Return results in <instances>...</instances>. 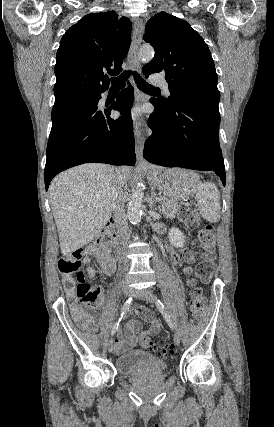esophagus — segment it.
<instances>
[{
    "mask_svg": "<svg viewBox=\"0 0 274 427\" xmlns=\"http://www.w3.org/2000/svg\"><path fill=\"white\" fill-rule=\"evenodd\" d=\"M144 34V24L143 21L140 18H137L134 23V33H133V41L131 44L129 56H128V62L132 69L135 71H141V64L138 60V51L139 47L142 42ZM140 97L139 95L135 96V102H139ZM134 135H135V151L137 156V161L140 164L146 163L143 159V148H144V130L142 127V123L139 121L135 125L134 129Z\"/></svg>",
    "mask_w": 274,
    "mask_h": 427,
    "instance_id": "34e87169",
    "label": "esophagus"
}]
</instances>
